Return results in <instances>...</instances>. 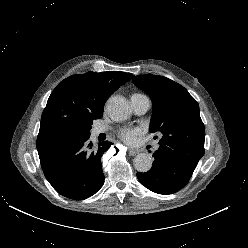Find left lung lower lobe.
<instances>
[{
	"mask_svg": "<svg viewBox=\"0 0 248 248\" xmlns=\"http://www.w3.org/2000/svg\"><path fill=\"white\" fill-rule=\"evenodd\" d=\"M153 156L152 168L137 173V177L145 187L158 194H173L182 189L196 168L165 150L158 149Z\"/></svg>",
	"mask_w": 248,
	"mask_h": 248,
	"instance_id": "left-lung-lower-lobe-1",
	"label": "left lung lower lobe"
}]
</instances>
